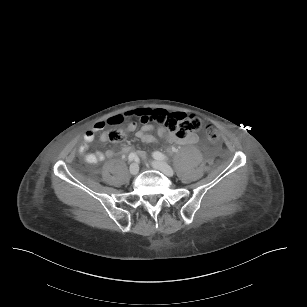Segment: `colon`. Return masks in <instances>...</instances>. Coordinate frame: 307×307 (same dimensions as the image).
Segmentation results:
<instances>
[{
  "instance_id": "5ec220e1",
  "label": "colon",
  "mask_w": 307,
  "mask_h": 307,
  "mask_svg": "<svg viewBox=\"0 0 307 307\" xmlns=\"http://www.w3.org/2000/svg\"><path fill=\"white\" fill-rule=\"evenodd\" d=\"M151 119L156 124L176 132L179 136L189 135L201 128V122L198 118L180 112H156L151 116ZM118 124V121L110 120L108 123H101L98 130L103 133L106 140L119 143L124 140L126 133L132 130L133 125L120 128L117 126ZM205 134L211 144H218L219 134L212 125L205 127Z\"/></svg>"
}]
</instances>
